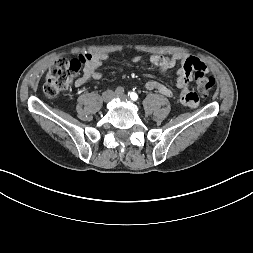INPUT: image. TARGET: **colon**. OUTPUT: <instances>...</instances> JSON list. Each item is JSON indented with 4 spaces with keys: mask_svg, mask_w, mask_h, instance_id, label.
I'll list each match as a JSON object with an SVG mask.
<instances>
[{
    "mask_svg": "<svg viewBox=\"0 0 253 253\" xmlns=\"http://www.w3.org/2000/svg\"><path fill=\"white\" fill-rule=\"evenodd\" d=\"M90 58V55L81 56L77 59H59L48 70L43 92L49 97L58 95L66 89L71 80L80 72L83 64ZM194 73V81L197 90L201 94H208L214 88L215 81L207 73V68L199 59L189 58L186 62Z\"/></svg>",
    "mask_w": 253,
    "mask_h": 253,
    "instance_id": "obj_1",
    "label": "colon"
}]
</instances>
